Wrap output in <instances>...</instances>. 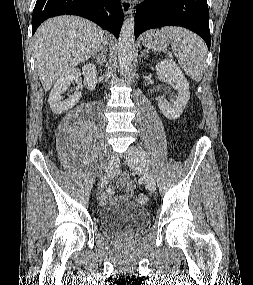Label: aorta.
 Segmentation results:
<instances>
[{
	"instance_id": "1",
	"label": "aorta",
	"mask_w": 253,
	"mask_h": 285,
	"mask_svg": "<svg viewBox=\"0 0 253 285\" xmlns=\"http://www.w3.org/2000/svg\"><path fill=\"white\" fill-rule=\"evenodd\" d=\"M134 53V16L131 15L124 20L119 35L118 62L121 74H125L129 71Z\"/></svg>"
}]
</instances>
